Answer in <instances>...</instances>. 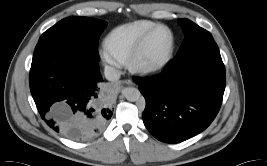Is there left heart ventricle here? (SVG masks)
I'll return each mask as SVG.
<instances>
[{"mask_svg":"<svg viewBox=\"0 0 267 166\" xmlns=\"http://www.w3.org/2000/svg\"><path fill=\"white\" fill-rule=\"evenodd\" d=\"M171 37L167 30L160 29L149 39L139 61L143 64H152L162 60L170 47Z\"/></svg>","mask_w":267,"mask_h":166,"instance_id":"1","label":"left heart ventricle"}]
</instances>
